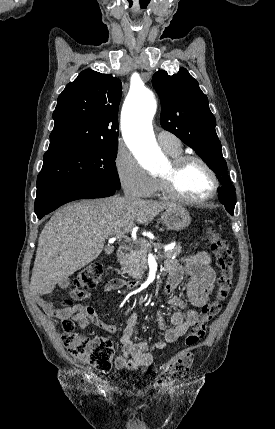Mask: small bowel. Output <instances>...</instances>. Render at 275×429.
Segmentation results:
<instances>
[{
  "label": "small bowel",
  "mask_w": 275,
  "mask_h": 429,
  "mask_svg": "<svg viewBox=\"0 0 275 429\" xmlns=\"http://www.w3.org/2000/svg\"><path fill=\"white\" fill-rule=\"evenodd\" d=\"M169 273L165 294L168 297V303L177 307L179 310L171 314V326L165 322L163 314L158 313V324L164 332V339L152 345L145 341H135L133 339L136 313H132L127 320L126 326L120 337L121 354L115 359V367L118 370H135L139 367L149 366L153 361V352L162 349L166 344L177 341L183 336L189 327L194 326L199 313L190 309L185 313L181 312L186 308V301L179 296L172 295L175 288L182 282L185 275L188 276L186 292L188 302L194 307L200 308L208 304L214 296V284L216 274L210 266V257L206 252H197L186 257L182 263L176 260H168L165 264ZM123 285L119 279H111L105 285L107 292L118 290ZM62 284L41 288L35 294L37 304L50 316L58 319L71 318L81 328H85L90 323L106 330L109 333L116 332L114 324L101 319L95 309L89 304L90 294L86 291L78 290L71 293V296L80 301V303L58 309L51 301L43 298V295L61 287Z\"/></svg>",
  "instance_id": "c3829d8e"
}]
</instances>
